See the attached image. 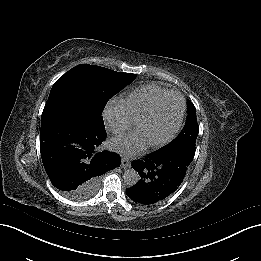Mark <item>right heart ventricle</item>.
<instances>
[{
    "label": "right heart ventricle",
    "mask_w": 261,
    "mask_h": 261,
    "mask_svg": "<svg viewBox=\"0 0 261 261\" xmlns=\"http://www.w3.org/2000/svg\"><path fill=\"white\" fill-rule=\"evenodd\" d=\"M173 96V93L157 84L143 86L118 104L124 117L134 120L151 108L166 102Z\"/></svg>",
    "instance_id": "1"
}]
</instances>
